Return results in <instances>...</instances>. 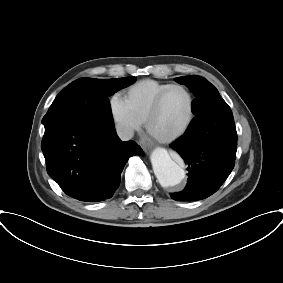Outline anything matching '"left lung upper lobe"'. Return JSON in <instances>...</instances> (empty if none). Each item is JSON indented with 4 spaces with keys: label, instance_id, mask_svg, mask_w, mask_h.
<instances>
[{
    "label": "left lung upper lobe",
    "instance_id": "left-lung-upper-lobe-1",
    "mask_svg": "<svg viewBox=\"0 0 283 283\" xmlns=\"http://www.w3.org/2000/svg\"><path fill=\"white\" fill-rule=\"evenodd\" d=\"M175 81L179 84L186 85L190 88L195 99L192 102V111L196 115L198 109H208L213 105L211 102L215 98L221 97L218 90L205 78L200 76H183L175 78ZM222 98V97H221ZM226 116V118H224ZM224 121L221 127H215L214 132L210 133L211 140H218L227 143H237V132L234 123V118L230 107L227 105L226 113L223 117ZM214 125V123H212ZM225 125L224 127H222Z\"/></svg>",
    "mask_w": 283,
    "mask_h": 283
}]
</instances>
